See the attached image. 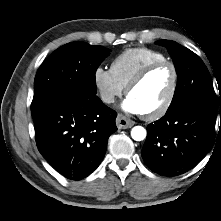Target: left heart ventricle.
Masks as SVG:
<instances>
[{"mask_svg": "<svg viewBox=\"0 0 221 221\" xmlns=\"http://www.w3.org/2000/svg\"><path fill=\"white\" fill-rule=\"evenodd\" d=\"M172 83V70L169 66H161L153 70L129 94L135 99L143 113L158 108L165 100Z\"/></svg>", "mask_w": 221, "mask_h": 221, "instance_id": "b2bd125f", "label": "left heart ventricle"}]
</instances>
